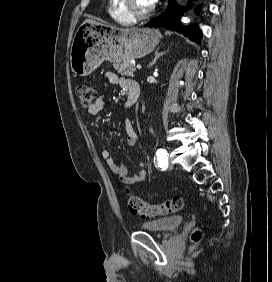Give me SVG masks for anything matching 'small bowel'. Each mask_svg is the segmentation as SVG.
<instances>
[{
  "label": "small bowel",
  "mask_w": 272,
  "mask_h": 282,
  "mask_svg": "<svg viewBox=\"0 0 272 282\" xmlns=\"http://www.w3.org/2000/svg\"><path fill=\"white\" fill-rule=\"evenodd\" d=\"M106 78L115 85H119L122 89L126 90L124 78H118L115 74H108ZM105 105L104 100V89L102 90L101 94L96 99L95 103L88 109V112L91 115H96L100 113ZM126 127V140L129 145H136L139 142V135L133 128L132 124L129 121L125 122ZM98 135V133H96ZM103 158L106 161L107 166L116 172L119 175V178L122 182L126 184H135L145 180L146 172H145V161H139L140 171L138 174L131 175L126 170L123 163L117 164L116 161L110 156L109 150L107 148H103L101 151Z\"/></svg>",
  "instance_id": "1"
}]
</instances>
